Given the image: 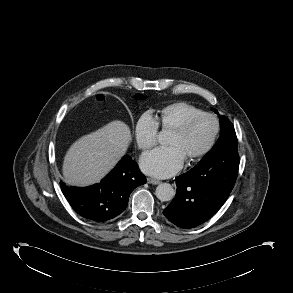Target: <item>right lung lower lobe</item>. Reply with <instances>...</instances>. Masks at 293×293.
Wrapping results in <instances>:
<instances>
[{
    "label": "right lung lower lobe",
    "instance_id": "1",
    "mask_svg": "<svg viewBox=\"0 0 293 293\" xmlns=\"http://www.w3.org/2000/svg\"><path fill=\"white\" fill-rule=\"evenodd\" d=\"M146 183L145 176L130 156H124L116 167L98 184L70 188L60 183L71 207L82 217L102 222L121 214L127 207L130 193Z\"/></svg>",
    "mask_w": 293,
    "mask_h": 293
}]
</instances>
